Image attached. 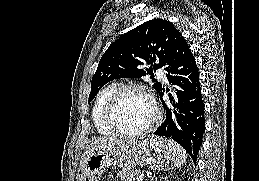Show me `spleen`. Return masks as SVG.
<instances>
[{"label":"spleen","mask_w":259,"mask_h":181,"mask_svg":"<svg viewBox=\"0 0 259 181\" xmlns=\"http://www.w3.org/2000/svg\"><path fill=\"white\" fill-rule=\"evenodd\" d=\"M168 145L173 152V163L175 167H181L186 161V151L174 140L169 139Z\"/></svg>","instance_id":"obj_1"}]
</instances>
